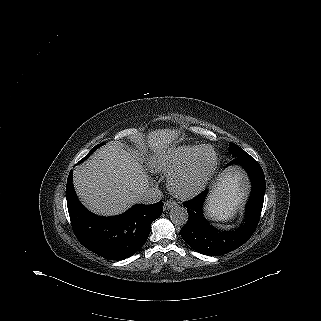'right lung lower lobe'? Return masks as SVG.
<instances>
[{
	"label": "right lung lower lobe",
	"instance_id": "98d812e1",
	"mask_svg": "<svg viewBox=\"0 0 321 321\" xmlns=\"http://www.w3.org/2000/svg\"><path fill=\"white\" fill-rule=\"evenodd\" d=\"M72 174L71 171L67 180V207L72 228L80 243L110 260H124L134 255L147 240L151 223L162 214L163 202L136 204L118 216H97L79 202Z\"/></svg>",
	"mask_w": 321,
	"mask_h": 321
}]
</instances>
